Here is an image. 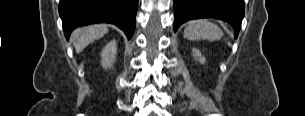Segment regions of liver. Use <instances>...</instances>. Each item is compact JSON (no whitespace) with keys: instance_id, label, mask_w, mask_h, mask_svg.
<instances>
[{"instance_id":"6515ba94","label":"liver","mask_w":305,"mask_h":116,"mask_svg":"<svg viewBox=\"0 0 305 116\" xmlns=\"http://www.w3.org/2000/svg\"><path fill=\"white\" fill-rule=\"evenodd\" d=\"M108 32L104 24H97L85 27L82 31L77 32L74 47L77 53H80L90 43L103 37Z\"/></svg>"}]
</instances>
